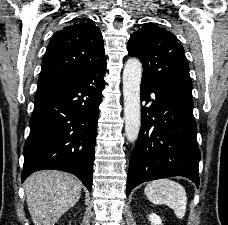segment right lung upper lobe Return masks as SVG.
Segmentation results:
<instances>
[{
    "label": "right lung upper lobe",
    "mask_w": 228,
    "mask_h": 225,
    "mask_svg": "<svg viewBox=\"0 0 228 225\" xmlns=\"http://www.w3.org/2000/svg\"><path fill=\"white\" fill-rule=\"evenodd\" d=\"M106 64L103 37L91 20L58 31L42 60L38 88L76 79Z\"/></svg>",
    "instance_id": "right-lung-upper-lobe-1"
}]
</instances>
